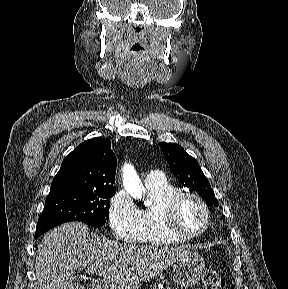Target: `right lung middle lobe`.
<instances>
[{
  "label": "right lung middle lobe",
  "instance_id": "right-lung-middle-lobe-1",
  "mask_svg": "<svg viewBox=\"0 0 288 289\" xmlns=\"http://www.w3.org/2000/svg\"><path fill=\"white\" fill-rule=\"evenodd\" d=\"M116 189L83 191L61 189L50 191L39 217L36 234L69 221H82L100 227L109 219V198Z\"/></svg>",
  "mask_w": 288,
  "mask_h": 289
}]
</instances>
